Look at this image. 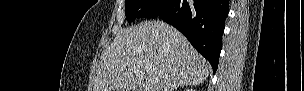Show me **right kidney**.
Listing matches in <instances>:
<instances>
[{
    "label": "right kidney",
    "mask_w": 304,
    "mask_h": 91,
    "mask_svg": "<svg viewBox=\"0 0 304 91\" xmlns=\"http://www.w3.org/2000/svg\"><path fill=\"white\" fill-rule=\"evenodd\" d=\"M186 91H193V89H186Z\"/></svg>",
    "instance_id": "ca27d5eb"
}]
</instances>
